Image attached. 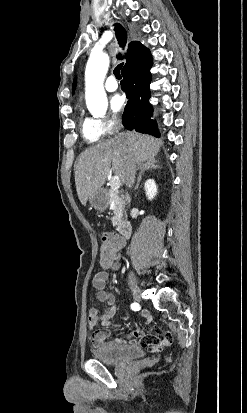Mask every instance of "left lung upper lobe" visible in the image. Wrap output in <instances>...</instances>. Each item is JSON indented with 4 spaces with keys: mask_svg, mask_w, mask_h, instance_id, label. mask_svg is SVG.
<instances>
[{
    "mask_svg": "<svg viewBox=\"0 0 247 413\" xmlns=\"http://www.w3.org/2000/svg\"><path fill=\"white\" fill-rule=\"evenodd\" d=\"M75 86H76V78L74 79V82H73V92L75 90Z\"/></svg>",
    "mask_w": 247,
    "mask_h": 413,
    "instance_id": "obj_1",
    "label": "left lung upper lobe"
}]
</instances>
